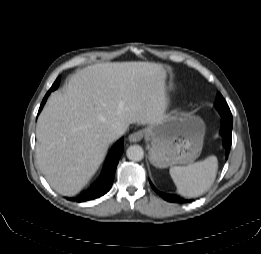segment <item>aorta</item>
I'll list each match as a JSON object with an SVG mask.
<instances>
[{"instance_id":"762f6f07","label":"aorta","mask_w":261,"mask_h":254,"mask_svg":"<svg viewBox=\"0 0 261 254\" xmlns=\"http://www.w3.org/2000/svg\"><path fill=\"white\" fill-rule=\"evenodd\" d=\"M127 158L132 161H141L144 157V150L139 145H131L126 151Z\"/></svg>"}]
</instances>
